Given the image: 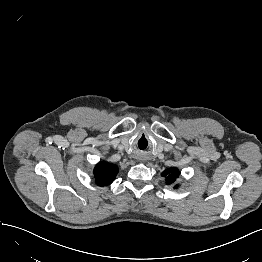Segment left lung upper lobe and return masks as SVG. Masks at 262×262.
Returning a JSON list of instances; mask_svg holds the SVG:
<instances>
[{
	"label": "left lung upper lobe",
	"instance_id": "left-lung-upper-lobe-1",
	"mask_svg": "<svg viewBox=\"0 0 262 262\" xmlns=\"http://www.w3.org/2000/svg\"><path fill=\"white\" fill-rule=\"evenodd\" d=\"M162 176L166 177L167 184H172L179 176V170L176 168L168 169L162 173Z\"/></svg>",
	"mask_w": 262,
	"mask_h": 262
}]
</instances>
